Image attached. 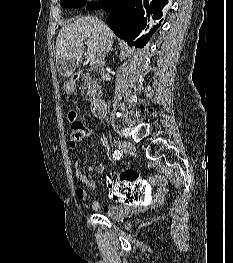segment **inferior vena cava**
<instances>
[{
    "label": "inferior vena cava",
    "mask_w": 233,
    "mask_h": 263,
    "mask_svg": "<svg viewBox=\"0 0 233 263\" xmlns=\"http://www.w3.org/2000/svg\"><path fill=\"white\" fill-rule=\"evenodd\" d=\"M96 22L100 26V31L102 32L104 29L103 23L98 19V17L95 18ZM107 41L104 37L101 38V43H100V50L97 54V66L99 68V71L101 75H104V65H105V51L107 48Z\"/></svg>",
    "instance_id": "1"
}]
</instances>
